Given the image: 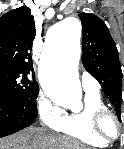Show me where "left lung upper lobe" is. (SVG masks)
<instances>
[{"label":"left lung upper lobe","mask_w":124,"mask_h":149,"mask_svg":"<svg viewBox=\"0 0 124 149\" xmlns=\"http://www.w3.org/2000/svg\"><path fill=\"white\" fill-rule=\"evenodd\" d=\"M79 17L83 28V65L100 82L121 121L122 70L116 44L98 16L81 13Z\"/></svg>","instance_id":"left-lung-upper-lobe-1"}]
</instances>
